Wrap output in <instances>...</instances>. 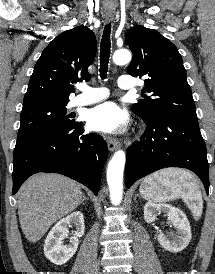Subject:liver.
Wrapping results in <instances>:
<instances>
[{
	"instance_id": "liver-1",
	"label": "liver",
	"mask_w": 215,
	"mask_h": 274,
	"mask_svg": "<svg viewBox=\"0 0 215 274\" xmlns=\"http://www.w3.org/2000/svg\"><path fill=\"white\" fill-rule=\"evenodd\" d=\"M83 196L77 183L65 176L30 177L18 191L19 221L27 240L39 241L56 221L80 205Z\"/></svg>"
}]
</instances>
